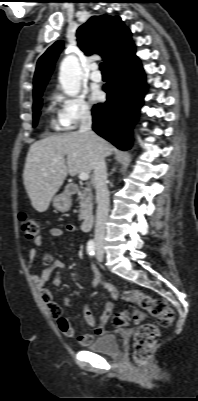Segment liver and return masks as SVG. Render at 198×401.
Listing matches in <instances>:
<instances>
[{
  "mask_svg": "<svg viewBox=\"0 0 198 401\" xmlns=\"http://www.w3.org/2000/svg\"><path fill=\"white\" fill-rule=\"evenodd\" d=\"M97 150L107 156L112 147L104 139L97 136V140H93L80 131L49 136L33 143L26 157L23 181L34 209L38 212L48 209L68 174L91 173Z\"/></svg>",
  "mask_w": 198,
  "mask_h": 401,
  "instance_id": "obj_1",
  "label": "liver"
}]
</instances>
